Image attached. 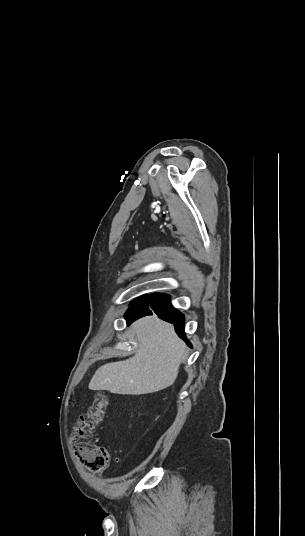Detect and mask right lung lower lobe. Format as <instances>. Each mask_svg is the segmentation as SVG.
I'll return each mask as SVG.
<instances>
[{"instance_id": "98d812e1", "label": "right lung lower lobe", "mask_w": 305, "mask_h": 536, "mask_svg": "<svg viewBox=\"0 0 305 536\" xmlns=\"http://www.w3.org/2000/svg\"><path fill=\"white\" fill-rule=\"evenodd\" d=\"M169 299L170 297L165 294H151L142 297L127 310L125 314L127 324L129 325L136 319L151 315L154 312L163 320L175 323L177 334L191 346L184 334V315L172 307Z\"/></svg>"}]
</instances>
